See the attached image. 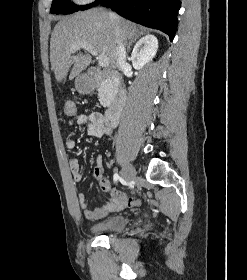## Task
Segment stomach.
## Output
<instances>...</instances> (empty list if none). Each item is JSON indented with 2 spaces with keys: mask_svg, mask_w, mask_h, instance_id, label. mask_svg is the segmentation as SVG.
Returning <instances> with one entry per match:
<instances>
[{
  "mask_svg": "<svg viewBox=\"0 0 247 280\" xmlns=\"http://www.w3.org/2000/svg\"><path fill=\"white\" fill-rule=\"evenodd\" d=\"M76 89L80 93H88L91 90V85L82 76L77 77L75 80Z\"/></svg>",
  "mask_w": 247,
  "mask_h": 280,
  "instance_id": "0dacf381",
  "label": "stomach"
}]
</instances>
